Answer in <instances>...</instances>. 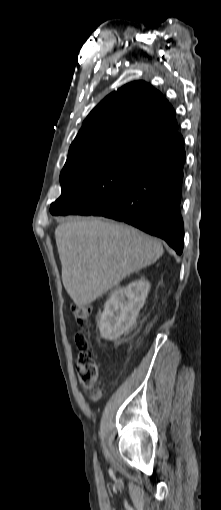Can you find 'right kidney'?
<instances>
[{"label":"right kidney","instance_id":"1","mask_svg":"<svg viewBox=\"0 0 221 510\" xmlns=\"http://www.w3.org/2000/svg\"><path fill=\"white\" fill-rule=\"evenodd\" d=\"M150 283L141 278L126 287L115 289L104 305L98 327L106 340H116L135 323L143 307Z\"/></svg>","mask_w":221,"mask_h":510}]
</instances>
